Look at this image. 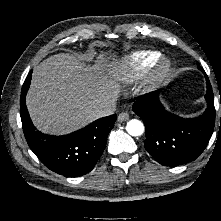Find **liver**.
<instances>
[{
	"mask_svg": "<svg viewBox=\"0 0 221 221\" xmlns=\"http://www.w3.org/2000/svg\"><path fill=\"white\" fill-rule=\"evenodd\" d=\"M99 67H86L64 53L35 67L26 98L34 125L44 133L66 134L95 120L98 106L116 102L120 88Z\"/></svg>",
	"mask_w": 221,
	"mask_h": 221,
	"instance_id": "obj_1",
	"label": "liver"
}]
</instances>
